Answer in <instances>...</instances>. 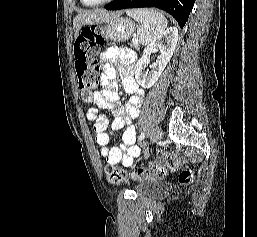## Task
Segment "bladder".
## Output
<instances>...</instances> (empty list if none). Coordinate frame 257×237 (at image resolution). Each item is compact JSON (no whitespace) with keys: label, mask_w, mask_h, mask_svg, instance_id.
<instances>
[{"label":"bladder","mask_w":257,"mask_h":237,"mask_svg":"<svg viewBox=\"0 0 257 237\" xmlns=\"http://www.w3.org/2000/svg\"><path fill=\"white\" fill-rule=\"evenodd\" d=\"M137 193L146 196H155L161 193L160 183L156 180H142L135 185Z\"/></svg>","instance_id":"31cf9c89"}]
</instances>
